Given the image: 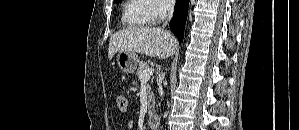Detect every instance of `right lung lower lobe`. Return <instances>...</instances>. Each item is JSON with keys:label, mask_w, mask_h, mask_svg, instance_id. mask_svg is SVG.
<instances>
[{"label": "right lung lower lobe", "mask_w": 299, "mask_h": 130, "mask_svg": "<svg viewBox=\"0 0 299 130\" xmlns=\"http://www.w3.org/2000/svg\"><path fill=\"white\" fill-rule=\"evenodd\" d=\"M189 0H177L174 8V16L170 23V28L179 42L184 38V27L187 19Z\"/></svg>", "instance_id": "right-lung-lower-lobe-1"}]
</instances>
